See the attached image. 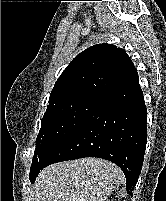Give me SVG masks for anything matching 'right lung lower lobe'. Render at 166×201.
Masks as SVG:
<instances>
[{"mask_svg": "<svg viewBox=\"0 0 166 201\" xmlns=\"http://www.w3.org/2000/svg\"><path fill=\"white\" fill-rule=\"evenodd\" d=\"M147 109L137 70H132L103 98L97 108L55 149L31 178L46 166L83 157L103 158L125 174L127 193L140 175L147 142Z\"/></svg>", "mask_w": 166, "mask_h": 201, "instance_id": "right-lung-lower-lobe-1", "label": "right lung lower lobe"}]
</instances>
